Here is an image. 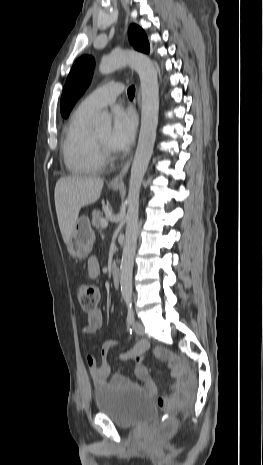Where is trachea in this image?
<instances>
[{"mask_svg": "<svg viewBox=\"0 0 263 465\" xmlns=\"http://www.w3.org/2000/svg\"><path fill=\"white\" fill-rule=\"evenodd\" d=\"M134 95H135V87H134V86H131V87H129V89H128V96H129L130 98H133Z\"/></svg>", "mask_w": 263, "mask_h": 465, "instance_id": "3493384b", "label": "trachea"}]
</instances>
